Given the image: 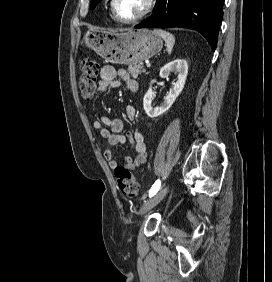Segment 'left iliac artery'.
I'll return each mask as SVG.
<instances>
[{"mask_svg":"<svg viewBox=\"0 0 272 282\" xmlns=\"http://www.w3.org/2000/svg\"><path fill=\"white\" fill-rule=\"evenodd\" d=\"M161 186V182L158 179L154 185L151 187L150 191H149V197H153L160 189Z\"/></svg>","mask_w":272,"mask_h":282,"instance_id":"left-iliac-artery-1","label":"left iliac artery"}]
</instances>
